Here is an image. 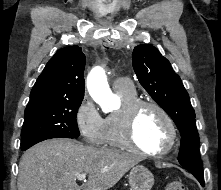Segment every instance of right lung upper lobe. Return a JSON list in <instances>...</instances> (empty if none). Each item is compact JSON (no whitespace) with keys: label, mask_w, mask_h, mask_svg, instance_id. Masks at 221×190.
<instances>
[{"label":"right lung upper lobe","mask_w":221,"mask_h":190,"mask_svg":"<svg viewBox=\"0 0 221 190\" xmlns=\"http://www.w3.org/2000/svg\"><path fill=\"white\" fill-rule=\"evenodd\" d=\"M85 59L81 47L70 46L58 50L34 84L28 105L81 102L85 90Z\"/></svg>","instance_id":"1"}]
</instances>
